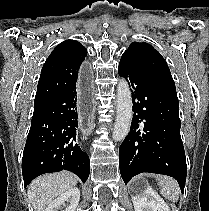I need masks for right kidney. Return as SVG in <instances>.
I'll return each instance as SVG.
<instances>
[{
    "mask_svg": "<svg viewBox=\"0 0 209 211\" xmlns=\"http://www.w3.org/2000/svg\"><path fill=\"white\" fill-rule=\"evenodd\" d=\"M80 200V190L78 188H70L62 193L58 198L53 200L45 211H58L61 205L69 203L65 211H75Z\"/></svg>",
    "mask_w": 209,
    "mask_h": 211,
    "instance_id": "right-kidney-1",
    "label": "right kidney"
}]
</instances>
